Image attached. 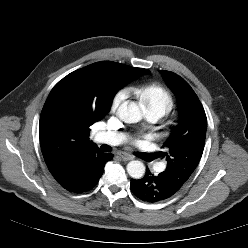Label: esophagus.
<instances>
[{"label": "esophagus", "instance_id": "1", "mask_svg": "<svg viewBox=\"0 0 248 248\" xmlns=\"http://www.w3.org/2000/svg\"><path fill=\"white\" fill-rule=\"evenodd\" d=\"M117 155L123 161H129V160H132L133 159V157L130 154L125 153V152H119Z\"/></svg>", "mask_w": 248, "mask_h": 248}]
</instances>
